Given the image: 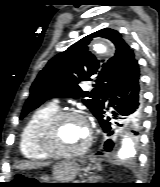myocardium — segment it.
<instances>
[{
    "label": "myocardium",
    "mask_w": 160,
    "mask_h": 187,
    "mask_svg": "<svg viewBox=\"0 0 160 187\" xmlns=\"http://www.w3.org/2000/svg\"><path fill=\"white\" fill-rule=\"evenodd\" d=\"M70 118L83 122L88 131L86 144L79 150L67 152L59 149L56 145L57 132L60 124ZM92 130L88 119L81 113L74 110L57 111L49 116L42 124L39 132V144L41 149L50 157L74 159L85 155L92 145Z\"/></svg>",
    "instance_id": "1"
}]
</instances>
